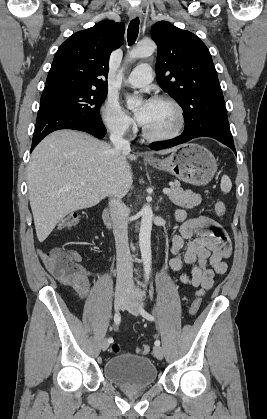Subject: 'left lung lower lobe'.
Here are the masks:
<instances>
[{"mask_svg": "<svg viewBox=\"0 0 267 419\" xmlns=\"http://www.w3.org/2000/svg\"><path fill=\"white\" fill-rule=\"evenodd\" d=\"M197 137H211L231 148L235 153L227 113L209 111L185 125L183 133L173 139L150 144L153 150L170 148Z\"/></svg>", "mask_w": 267, "mask_h": 419, "instance_id": "0a47b994", "label": "left lung lower lobe"}]
</instances>
